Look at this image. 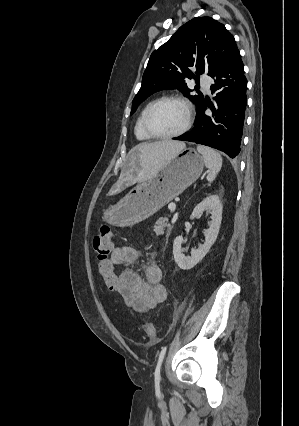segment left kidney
<instances>
[{"instance_id":"left-kidney-1","label":"left kidney","mask_w":299,"mask_h":426,"mask_svg":"<svg viewBox=\"0 0 299 426\" xmlns=\"http://www.w3.org/2000/svg\"><path fill=\"white\" fill-rule=\"evenodd\" d=\"M211 213V222L209 229L205 230V242L198 249H194L191 256H185L182 250L184 238L182 235L175 238L173 243L174 260L182 270H189L198 264L208 253L211 246L214 244L221 225L222 220V205L217 195H209L204 198L193 210L190 218L194 219L201 216L204 210Z\"/></svg>"}]
</instances>
